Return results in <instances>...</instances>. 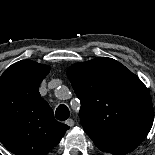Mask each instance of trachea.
<instances>
[{"label":"trachea","instance_id":"3493384b","mask_svg":"<svg viewBox=\"0 0 155 155\" xmlns=\"http://www.w3.org/2000/svg\"><path fill=\"white\" fill-rule=\"evenodd\" d=\"M70 112L66 105H59L56 109L55 116L60 121H65L69 118Z\"/></svg>","mask_w":155,"mask_h":155}]
</instances>
